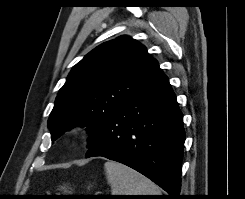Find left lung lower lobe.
<instances>
[{
	"mask_svg": "<svg viewBox=\"0 0 245 199\" xmlns=\"http://www.w3.org/2000/svg\"><path fill=\"white\" fill-rule=\"evenodd\" d=\"M185 132L183 116L161 69L106 120L86 158L102 156L145 175L177 199Z\"/></svg>",
	"mask_w": 245,
	"mask_h": 199,
	"instance_id": "1",
	"label": "left lung lower lobe"
}]
</instances>
